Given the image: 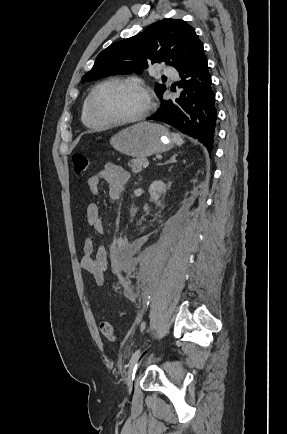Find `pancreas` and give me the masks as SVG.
<instances>
[{"label":"pancreas","mask_w":287,"mask_h":434,"mask_svg":"<svg viewBox=\"0 0 287 434\" xmlns=\"http://www.w3.org/2000/svg\"><path fill=\"white\" fill-rule=\"evenodd\" d=\"M145 160L146 159L143 157L133 159L130 163H128V166L131 168L133 173H139L142 171L143 162Z\"/></svg>","instance_id":"1"}]
</instances>
